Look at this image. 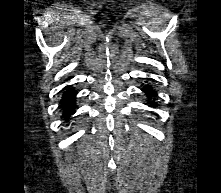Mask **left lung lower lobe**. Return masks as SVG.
Wrapping results in <instances>:
<instances>
[{
	"mask_svg": "<svg viewBox=\"0 0 221 193\" xmlns=\"http://www.w3.org/2000/svg\"><path fill=\"white\" fill-rule=\"evenodd\" d=\"M141 90L145 93V95L150 100L148 105L151 106V107H156L157 103H155V100H156V97H157V93L154 90V88L151 85L147 84Z\"/></svg>",
	"mask_w": 221,
	"mask_h": 193,
	"instance_id": "obj_1",
	"label": "left lung lower lobe"
}]
</instances>
